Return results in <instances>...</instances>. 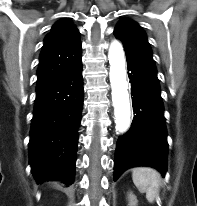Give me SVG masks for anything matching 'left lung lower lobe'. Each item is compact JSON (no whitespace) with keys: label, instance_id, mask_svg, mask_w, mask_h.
<instances>
[{"label":"left lung lower lobe","instance_id":"1","mask_svg":"<svg viewBox=\"0 0 197 206\" xmlns=\"http://www.w3.org/2000/svg\"><path fill=\"white\" fill-rule=\"evenodd\" d=\"M133 111L131 128L117 141L114 180L128 168L151 166L167 171V130L159 81L127 60Z\"/></svg>","mask_w":197,"mask_h":206}]
</instances>
